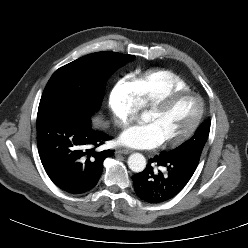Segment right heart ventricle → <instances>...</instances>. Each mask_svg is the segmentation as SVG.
I'll return each instance as SVG.
<instances>
[{"instance_id": "e07e8e85", "label": "right heart ventricle", "mask_w": 248, "mask_h": 248, "mask_svg": "<svg viewBox=\"0 0 248 248\" xmlns=\"http://www.w3.org/2000/svg\"><path fill=\"white\" fill-rule=\"evenodd\" d=\"M126 83L140 108L148 107L152 102L169 92L190 90L189 85L180 76L167 70L132 75Z\"/></svg>"}]
</instances>
